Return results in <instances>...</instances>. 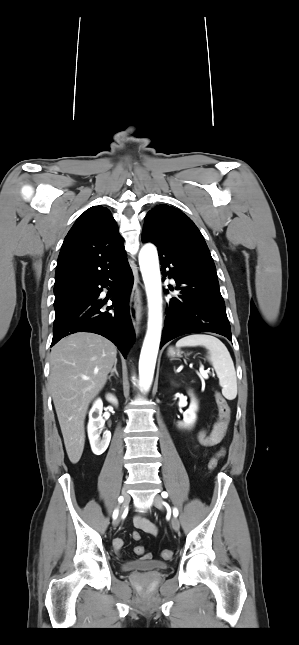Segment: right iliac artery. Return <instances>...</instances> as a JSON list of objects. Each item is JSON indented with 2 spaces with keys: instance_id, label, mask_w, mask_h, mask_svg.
<instances>
[{
  "instance_id": "obj_1",
  "label": "right iliac artery",
  "mask_w": 299,
  "mask_h": 645,
  "mask_svg": "<svg viewBox=\"0 0 299 645\" xmlns=\"http://www.w3.org/2000/svg\"><path fill=\"white\" fill-rule=\"evenodd\" d=\"M118 501H119V503H122L123 502V497L120 496L118 498ZM117 516H118V509H115L114 512H113V518L115 519V518H117Z\"/></svg>"
}]
</instances>
